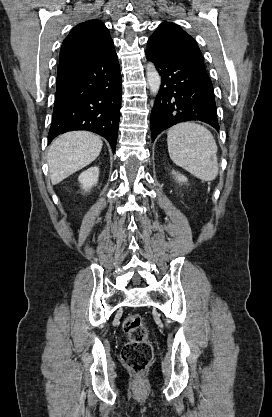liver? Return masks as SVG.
I'll return each mask as SVG.
<instances>
[{
	"mask_svg": "<svg viewBox=\"0 0 272 417\" xmlns=\"http://www.w3.org/2000/svg\"><path fill=\"white\" fill-rule=\"evenodd\" d=\"M100 137L87 131L65 133L50 145L47 162L51 182L56 185L92 163L102 149Z\"/></svg>",
	"mask_w": 272,
	"mask_h": 417,
	"instance_id": "obj_1",
	"label": "liver"
}]
</instances>
